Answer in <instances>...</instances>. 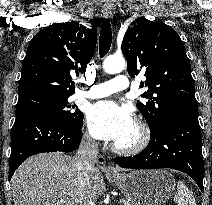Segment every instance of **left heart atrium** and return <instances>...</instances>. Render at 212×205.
I'll list each match as a JSON object with an SVG mask.
<instances>
[{
	"instance_id": "1",
	"label": "left heart atrium",
	"mask_w": 212,
	"mask_h": 205,
	"mask_svg": "<svg viewBox=\"0 0 212 205\" xmlns=\"http://www.w3.org/2000/svg\"><path fill=\"white\" fill-rule=\"evenodd\" d=\"M87 119L95 138L114 142L125 137L135 125L131 110L113 101L94 104L88 111Z\"/></svg>"
}]
</instances>
